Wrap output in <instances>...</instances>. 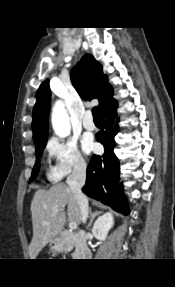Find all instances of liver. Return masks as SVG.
Masks as SVG:
<instances>
[{
    "instance_id": "liver-1",
    "label": "liver",
    "mask_w": 175,
    "mask_h": 287,
    "mask_svg": "<svg viewBox=\"0 0 175 287\" xmlns=\"http://www.w3.org/2000/svg\"><path fill=\"white\" fill-rule=\"evenodd\" d=\"M66 206L68 221L80 224V208L67 185L60 183L34 194L31 202L33 237L29 245L30 259H35L46 244L61 232L66 222L63 212ZM55 209L59 210L57 215L53 214Z\"/></svg>"
}]
</instances>
